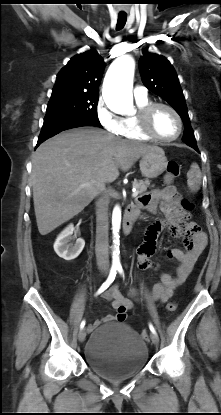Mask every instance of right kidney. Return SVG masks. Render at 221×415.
Instances as JSON below:
<instances>
[{"instance_id":"1","label":"right kidney","mask_w":221,"mask_h":415,"mask_svg":"<svg viewBox=\"0 0 221 415\" xmlns=\"http://www.w3.org/2000/svg\"><path fill=\"white\" fill-rule=\"evenodd\" d=\"M74 230L75 228L73 224H70L59 234L54 243V250L56 254L67 261L78 257L85 246V241L82 238H78L74 246L68 245L69 239L71 238Z\"/></svg>"}]
</instances>
